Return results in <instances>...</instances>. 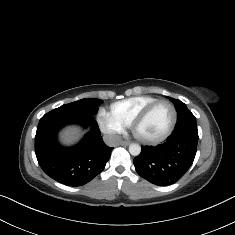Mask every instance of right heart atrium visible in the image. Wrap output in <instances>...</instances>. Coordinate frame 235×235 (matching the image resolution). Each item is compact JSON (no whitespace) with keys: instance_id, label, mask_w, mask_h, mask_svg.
Instances as JSON below:
<instances>
[{"instance_id":"d8ad5b80","label":"right heart atrium","mask_w":235,"mask_h":235,"mask_svg":"<svg viewBox=\"0 0 235 235\" xmlns=\"http://www.w3.org/2000/svg\"><path fill=\"white\" fill-rule=\"evenodd\" d=\"M96 121L101 130L113 137L114 140H118V137L124 132L125 127L104 107L98 109Z\"/></svg>"}]
</instances>
